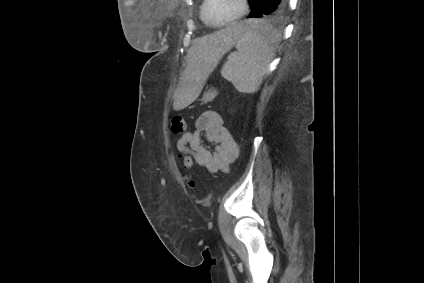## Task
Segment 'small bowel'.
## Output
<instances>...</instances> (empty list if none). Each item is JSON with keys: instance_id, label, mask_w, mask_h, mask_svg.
<instances>
[{"instance_id": "1", "label": "small bowel", "mask_w": 424, "mask_h": 283, "mask_svg": "<svg viewBox=\"0 0 424 283\" xmlns=\"http://www.w3.org/2000/svg\"><path fill=\"white\" fill-rule=\"evenodd\" d=\"M207 141L209 144H206ZM178 152L215 173L227 172L238 156V145L230 131L224 126L221 115L214 110L203 112L195 121L193 130L178 138Z\"/></svg>"}]
</instances>
